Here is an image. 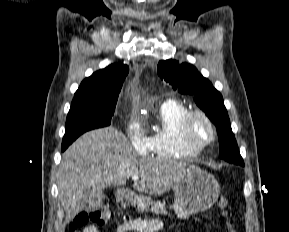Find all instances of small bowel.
Returning a JSON list of instances; mask_svg holds the SVG:
<instances>
[{
    "mask_svg": "<svg viewBox=\"0 0 289 232\" xmlns=\"http://www.w3.org/2000/svg\"><path fill=\"white\" fill-rule=\"evenodd\" d=\"M163 223L159 220H151L148 222L129 221L121 224L117 228V232H162ZM82 232H99L95 225L86 226Z\"/></svg>",
    "mask_w": 289,
    "mask_h": 232,
    "instance_id": "small-bowel-1",
    "label": "small bowel"
}]
</instances>
